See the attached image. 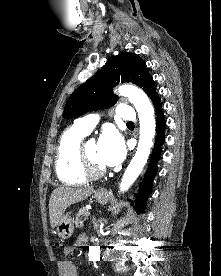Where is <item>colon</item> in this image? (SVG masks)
<instances>
[{
    "mask_svg": "<svg viewBox=\"0 0 221 276\" xmlns=\"http://www.w3.org/2000/svg\"><path fill=\"white\" fill-rule=\"evenodd\" d=\"M53 247H66V242H53Z\"/></svg>",
    "mask_w": 221,
    "mask_h": 276,
    "instance_id": "obj_1",
    "label": "colon"
}]
</instances>
